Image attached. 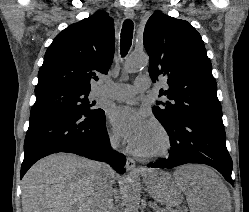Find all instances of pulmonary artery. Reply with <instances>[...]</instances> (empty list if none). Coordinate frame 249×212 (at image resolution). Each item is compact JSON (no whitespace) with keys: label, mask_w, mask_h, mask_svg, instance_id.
<instances>
[{"label":"pulmonary artery","mask_w":249,"mask_h":212,"mask_svg":"<svg viewBox=\"0 0 249 212\" xmlns=\"http://www.w3.org/2000/svg\"><path fill=\"white\" fill-rule=\"evenodd\" d=\"M100 82L102 84L98 87L94 96L116 100L130 99L138 93L145 92L150 87V82H148L146 75L137 76L132 85L113 82L105 76L100 77Z\"/></svg>","instance_id":"1"}]
</instances>
